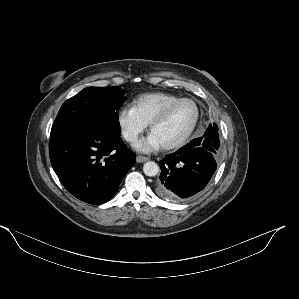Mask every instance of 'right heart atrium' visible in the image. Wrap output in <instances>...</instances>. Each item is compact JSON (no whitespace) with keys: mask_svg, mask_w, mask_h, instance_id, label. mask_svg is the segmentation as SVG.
Here are the masks:
<instances>
[{"mask_svg":"<svg viewBox=\"0 0 299 299\" xmlns=\"http://www.w3.org/2000/svg\"><path fill=\"white\" fill-rule=\"evenodd\" d=\"M119 131L128 143H134L146 130L147 124L136 114L132 107H123L117 113Z\"/></svg>","mask_w":299,"mask_h":299,"instance_id":"right-heart-atrium-1","label":"right heart atrium"}]
</instances>
